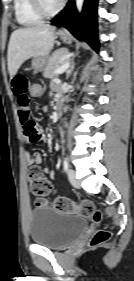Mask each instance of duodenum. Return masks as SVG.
Returning a JSON list of instances; mask_svg holds the SVG:
<instances>
[{"mask_svg":"<svg viewBox=\"0 0 134 281\" xmlns=\"http://www.w3.org/2000/svg\"><path fill=\"white\" fill-rule=\"evenodd\" d=\"M55 108H56L57 112H60L63 110L62 100L60 98L57 99V101L55 103Z\"/></svg>","mask_w":134,"mask_h":281,"instance_id":"obj_1","label":"duodenum"}]
</instances>
